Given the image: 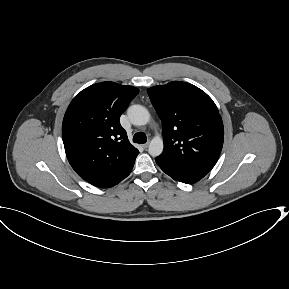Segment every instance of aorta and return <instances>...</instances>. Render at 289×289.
Here are the masks:
<instances>
[{
    "label": "aorta",
    "mask_w": 289,
    "mask_h": 289,
    "mask_svg": "<svg viewBox=\"0 0 289 289\" xmlns=\"http://www.w3.org/2000/svg\"><path fill=\"white\" fill-rule=\"evenodd\" d=\"M128 117L133 125L143 126L150 120L148 110L142 105H132L127 110ZM163 151V140L155 136L149 143L148 152L152 157L159 156Z\"/></svg>",
    "instance_id": "aorta-1"
}]
</instances>
